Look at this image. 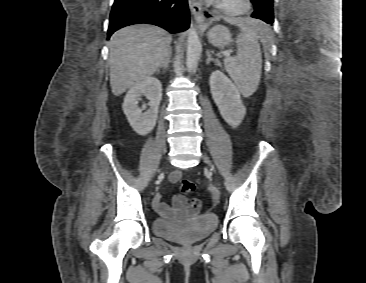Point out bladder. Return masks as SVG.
I'll return each instance as SVG.
<instances>
[{
    "instance_id": "bladder-1",
    "label": "bladder",
    "mask_w": 366,
    "mask_h": 283,
    "mask_svg": "<svg viewBox=\"0 0 366 283\" xmlns=\"http://www.w3.org/2000/svg\"><path fill=\"white\" fill-rule=\"evenodd\" d=\"M217 225L215 216H201L187 220L156 218L152 222V230L159 237L182 244H193L215 231Z\"/></svg>"
}]
</instances>
